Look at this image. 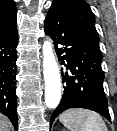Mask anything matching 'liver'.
I'll use <instances>...</instances> for the list:
<instances>
[{
	"mask_svg": "<svg viewBox=\"0 0 117 131\" xmlns=\"http://www.w3.org/2000/svg\"><path fill=\"white\" fill-rule=\"evenodd\" d=\"M0 131H10V123L2 114H0Z\"/></svg>",
	"mask_w": 117,
	"mask_h": 131,
	"instance_id": "liver-1",
	"label": "liver"
}]
</instances>
